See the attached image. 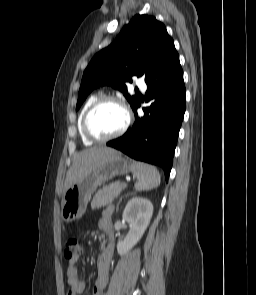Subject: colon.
Instances as JSON below:
<instances>
[{"mask_svg": "<svg viewBox=\"0 0 256 295\" xmlns=\"http://www.w3.org/2000/svg\"><path fill=\"white\" fill-rule=\"evenodd\" d=\"M80 252L81 244L78 238L74 236L67 238L64 245V258L69 261L74 260L78 258Z\"/></svg>", "mask_w": 256, "mask_h": 295, "instance_id": "obj_1", "label": "colon"}]
</instances>
